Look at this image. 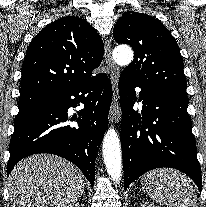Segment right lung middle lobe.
I'll use <instances>...</instances> for the list:
<instances>
[{"mask_svg":"<svg viewBox=\"0 0 206 207\" xmlns=\"http://www.w3.org/2000/svg\"><path fill=\"white\" fill-rule=\"evenodd\" d=\"M48 100H49L48 94H35V95L20 97L18 103V107H19L18 114L27 112L40 105H43L47 103Z\"/></svg>","mask_w":206,"mask_h":207,"instance_id":"obj_1","label":"right lung middle lobe"}]
</instances>
